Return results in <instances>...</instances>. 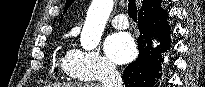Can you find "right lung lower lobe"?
<instances>
[{
  "instance_id": "1",
  "label": "right lung lower lobe",
  "mask_w": 205,
  "mask_h": 87,
  "mask_svg": "<svg viewBox=\"0 0 205 87\" xmlns=\"http://www.w3.org/2000/svg\"><path fill=\"white\" fill-rule=\"evenodd\" d=\"M160 0H155L139 11L138 38L139 56L129 64L123 74L126 87H150L155 84V77L161 70L164 62L161 53L170 49V30L167 24V12L160 8ZM157 38L160 45L157 48L151 46L152 39Z\"/></svg>"
}]
</instances>
